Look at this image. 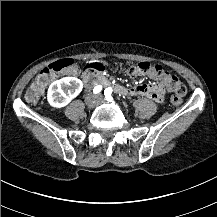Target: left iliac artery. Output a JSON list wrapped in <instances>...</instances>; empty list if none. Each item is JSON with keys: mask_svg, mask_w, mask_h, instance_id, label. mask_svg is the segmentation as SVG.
I'll list each match as a JSON object with an SVG mask.
<instances>
[{"mask_svg": "<svg viewBox=\"0 0 217 217\" xmlns=\"http://www.w3.org/2000/svg\"><path fill=\"white\" fill-rule=\"evenodd\" d=\"M111 93H112V90H110L109 92L107 90L104 91V95L106 96L107 100L112 99Z\"/></svg>", "mask_w": 217, "mask_h": 217, "instance_id": "1", "label": "left iliac artery"}]
</instances>
